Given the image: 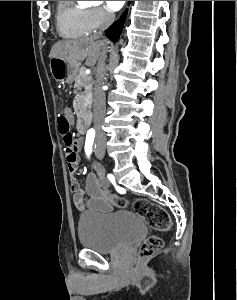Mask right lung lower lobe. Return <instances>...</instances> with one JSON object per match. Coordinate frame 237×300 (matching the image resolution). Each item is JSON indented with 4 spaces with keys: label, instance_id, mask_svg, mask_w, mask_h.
Wrapping results in <instances>:
<instances>
[{
    "label": "right lung lower lobe",
    "instance_id": "right-lung-lower-lobe-1",
    "mask_svg": "<svg viewBox=\"0 0 237 300\" xmlns=\"http://www.w3.org/2000/svg\"><path fill=\"white\" fill-rule=\"evenodd\" d=\"M127 11L116 21L106 32V36L113 42H117L122 32L123 24L126 18Z\"/></svg>",
    "mask_w": 237,
    "mask_h": 300
}]
</instances>
